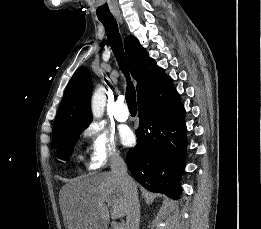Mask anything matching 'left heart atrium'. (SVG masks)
Masks as SVG:
<instances>
[{"mask_svg": "<svg viewBox=\"0 0 261 229\" xmlns=\"http://www.w3.org/2000/svg\"><path fill=\"white\" fill-rule=\"evenodd\" d=\"M121 137L125 145H131L135 140L134 133L130 128H125Z\"/></svg>", "mask_w": 261, "mask_h": 229, "instance_id": "39dd6f15", "label": "left heart atrium"}]
</instances>
